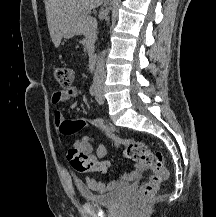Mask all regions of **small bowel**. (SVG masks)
<instances>
[{
	"label": "small bowel",
	"mask_w": 216,
	"mask_h": 217,
	"mask_svg": "<svg viewBox=\"0 0 216 217\" xmlns=\"http://www.w3.org/2000/svg\"><path fill=\"white\" fill-rule=\"evenodd\" d=\"M78 95V90L76 87H70L63 90L55 91L52 94L51 101L55 106H59L62 103L70 102L69 107L75 108L77 103L74 101V99ZM53 121L58 130H62L63 125L66 123V118L61 112L60 109H55L53 113ZM96 146V152L95 154H92L93 146ZM73 147L78 148L79 150L83 151L84 153L91 156V158L95 162H104L105 168L100 171L101 173H105L110 165V162L107 160H104L106 156V147L98 142L94 137L92 136H83L81 137L77 142L73 144ZM141 167L138 165H135L131 171H129L122 180H131L134 179L138 173L141 171ZM97 172V171H95ZM119 183V180L114 179L109 181L108 183H103L99 181L96 178L89 177L85 180V183H79L80 187H87L91 190L98 191V192H104L106 190L114 188Z\"/></svg>",
	"instance_id": "small-bowel-1"
}]
</instances>
